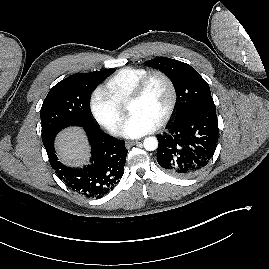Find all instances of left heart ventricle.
<instances>
[{"label":"left heart ventricle","mask_w":269,"mask_h":269,"mask_svg":"<svg viewBox=\"0 0 269 269\" xmlns=\"http://www.w3.org/2000/svg\"><path fill=\"white\" fill-rule=\"evenodd\" d=\"M169 100L170 92L166 82L156 77L150 82L144 96L129 104L128 110L131 114H142L157 124L166 111Z\"/></svg>","instance_id":"b2bd125f"}]
</instances>
